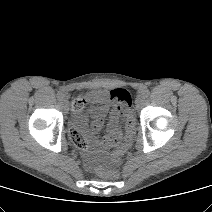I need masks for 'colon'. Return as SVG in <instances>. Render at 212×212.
Instances as JSON below:
<instances>
[{"mask_svg": "<svg viewBox=\"0 0 212 212\" xmlns=\"http://www.w3.org/2000/svg\"><path fill=\"white\" fill-rule=\"evenodd\" d=\"M110 98L117 104L118 109L123 113L127 112L131 107L132 102L131 95L125 89L119 88L111 90ZM75 107L80 108V104L78 101L75 103ZM125 126L127 128V135L125 141L114 151L112 155V161L114 165H118L121 162L124 153L127 151V149L131 144L134 134V119L132 117L126 118ZM71 138L73 142L79 147L84 148L86 146L84 142L80 141L74 135H71ZM97 174L103 178L108 179H114L119 175L118 171L115 168H107V167L98 168Z\"/></svg>", "mask_w": 212, "mask_h": 212, "instance_id": "colon-1", "label": "colon"}]
</instances>
